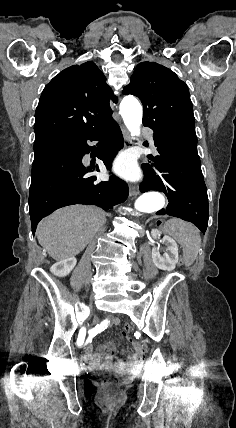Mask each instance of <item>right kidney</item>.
I'll return each mask as SVG.
<instances>
[{"instance_id":"ca27d5eb","label":"right kidney","mask_w":236,"mask_h":428,"mask_svg":"<svg viewBox=\"0 0 236 428\" xmlns=\"http://www.w3.org/2000/svg\"><path fill=\"white\" fill-rule=\"evenodd\" d=\"M76 264H77V260L76 258H74V256H71V258H66V260H58L56 264H53V266H51L50 272H52L54 276H59V278H64V276H68V274L72 272Z\"/></svg>"}]
</instances>
